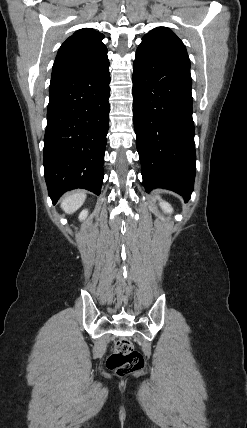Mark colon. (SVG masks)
Wrapping results in <instances>:
<instances>
[{
  "instance_id": "1",
  "label": "colon",
  "mask_w": 247,
  "mask_h": 428,
  "mask_svg": "<svg viewBox=\"0 0 247 428\" xmlns=\"http://www.w3.org/2000/svg\"><path fill=\"white\" fill-rule=\"evenodd\" d=\"M143 364L142 355L127 339L116 343L106 361L107 368L120 376L142 368Z\"/></svg>"
}]
</instances>
